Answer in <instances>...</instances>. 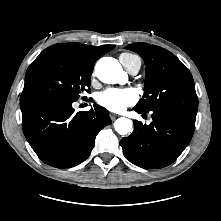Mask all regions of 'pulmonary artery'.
<instances>
[{
    "label": "pulmonary artery",
    "instance_id": "obj_1",
    "mask_svg": "<svg viewBox=\"0 0 221 221\" xmlns=\"http://www.w3.org/2000/svg\"><path fill=\"white\" fill-rule=\"evenodd\" d=\"M123 65L130 74L136 75L140 70L141 61L139 58H137V59L131 60Z\"/></svg>",
    "mask_w": 221,
    "mask_h": 221
}]
</instances>
